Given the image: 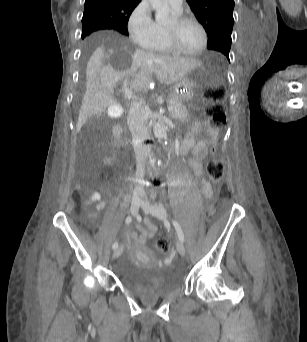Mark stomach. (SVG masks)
Returning a JSON list of instances; mask_svg holds the SVG:
<instances>
[{"instance_id":"0dacf381","label":"stomach","mask_w":307,"mask_h":342,"mask_svg":"<svg viewBox=\"0 0 307 342\" xmlns=\"http://www.w3.org/2000/svg\"><path fill=\"white\" fill-rule=\"evenodd\" d=\"M201 75L200 68H194L173 85L172 94L176 95L182 102L191 101L198 88V79Z\"/></svg>"}]
</instances>
